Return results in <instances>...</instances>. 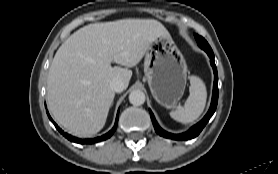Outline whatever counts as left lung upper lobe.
Instances as JSON below:
<instances>
[{"mask_svg": "<svg viewBox=\"0 0 278 174\" xmlns=\"http://www.w3.org/2000/svg\"><path fill=\"white\" fill-rule=\"evenodd\" d=\"M195 38L200 48L204 50H212L208 42L203 37L195 34Z\"/></svg>", "mask_w": 278, "mask_h": 174, "instance_id": "obj_1", "label": "left lung upper lobe"}]
</instances>
